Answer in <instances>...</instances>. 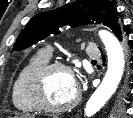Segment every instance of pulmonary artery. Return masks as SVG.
Segmentation results:
<instances>
[{
	"label": "pulmonary artery",
	"instance_id": "e3ab8cb5",
	"mask_svg": "<svg viewBox=\"0 0 133 118\" xmlns=\"http://www.w3.org/2000/svg\"><path fill=\"white\" fill-rule=\"evenodd\" d=\"M87 55L89 58L98 59L100 57V52L95 46L90 45L87 48Z\"/></svg>",
	"mask_w": 133,
	"mask_h": 118
}]
</instances>
